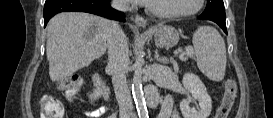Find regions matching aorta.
Returning <instances> with one entry per match:
<instances>
[{
    "label": "aorta",
    "mask_w": 273,
    "mask_h": 118,
    "mask_svg": "<svg viewBox=\"0 0 273 118\" xmlns=\"http://www.w3.org/2000/svg\"><path fill=\"white\" fill-rule=\"evenodd\" d=\"M135 63L134 75L132 84V93L136 103V108L139 115H144L147 112L146 102L142 91V68L145 63L143 52L139 47H135Z\"/></svg>",
    "instance_id": "1"
}]
</instances>
